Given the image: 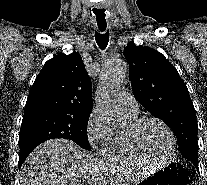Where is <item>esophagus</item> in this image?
<instances>
[{
    "label": "esophagus",
    "instance_id": "esophagus-1",
    "mask_svg": "<svg viewBox=\"0 0 207 185\" xmlns=\"http://www.w3.org/2000/svg\"><path fill=\"white\" fill-rule=\"evenodd\" d=\"M94 13L95 14H106L107 10L106 9H95ZM94 19L96 20V26H97L98 29L100 27V29L105 31L108 28V22H107V16L106 15H95Z\"/></svg>",
    "mask_w": 207,
    "mask_h": 185
}]
</instances>
